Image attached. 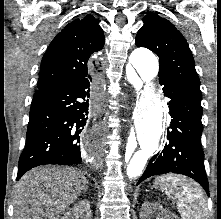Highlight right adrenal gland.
<instances>
[{"mask_svg":"<svg viewBox=\"0 0 221 219\" xmlns=\"http://www.w3.org/2000/svg\"><path fill=\"white\" fill-rule=\"evenodd\" d=\"M87 189H88V186H86V188L84 190L87 191Z\"/></svg>","mask_w":221,"mask_h":219,"instance_id":"1","label":"right adrenal gland"}]
</instances>
